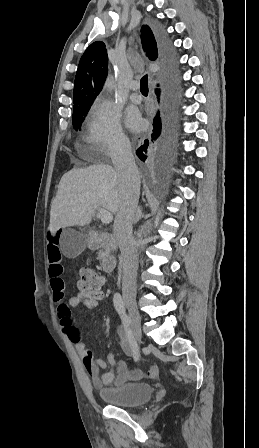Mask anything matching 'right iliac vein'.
<instances>
[{
	"mask_svg": "<svg viewBox=\"0 0 259 448\" xmlns=\"http://www.w3.org/2000/svg\"><path fill=\"white\" fill-rule=\"evenodd\" d=\"M126 308L130 315L131 320V326L133 330V334L138 342H141V316L138 311L136 302L132 299H127L126 302Z\"/></svg>",
	"mask_w": 259,
	"mask_h": 448,
	"instance_id": "obj_1",
	"label": "right iliac vein"
}]
</instances>
